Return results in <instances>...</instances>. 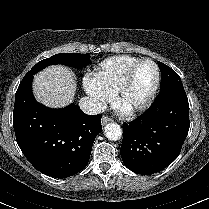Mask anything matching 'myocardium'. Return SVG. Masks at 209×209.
<instances>
[{
  "mask_svg": "<svg viewBox=\"0 0 209 209\" xmlns=\"http://www.w3.org/2000/svg\"><path fill=\"white\" fill-rule=\"evenodd\" d=\"M144 62H149L154 66V69H155L154 86H153L149 96L142 104H140L136 107H133V108H127L124 106V102H123L125 93L131 84L132 77H133V74H134L136 68ZM159 87H160V69H159L157 63L150 58L139 59L128 68L125 76L123 77V79L117 89V92H116L117 106L120 108L121 111H123L125 114H127L129 116L139 115V114L145 112L147 109H149L150 106L153 104V102L157 96Z\"/></svg>",
  "mask_w": 209,
  "mask_h": 209,
  "instance_id": "1",
  "label": "myocardium"
}]
</instances>
